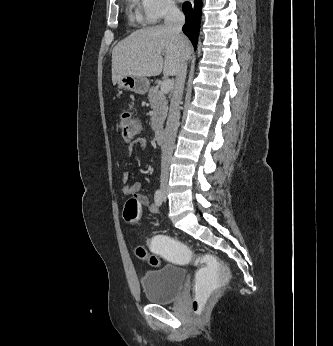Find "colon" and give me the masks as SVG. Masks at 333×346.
Instances as JSON below:
<instances>
[{"mask_svg":"<svg viewBox=\"0 0 333 346\" xmlns=\"http://www.w3.org/2000/svg\"><path fill=\"white\" fill-rule=\"evenodd\" d=\"M119 124L121 136L125 142H130L137 135L139 120L129 111L120 114ZM124 220L129 225H136L140 218L139 201L135 198L129 199L124 207ZM145 247H135L136 256L146 261L149 265L157 267L160 264L157 256L168 260L169 264H176L177 268H186L187 260L193 265V270L198 271L195 276L193 307L196 313L199 310L209 309V299L216 293V288H224L231 274L224 264V257H190V250L182 240H176L175 235L169 233H153L149 240H145ZM150 251V253L148 251Z\"/></svg>","mask_w":333,"mask_h":346,"instance_id":"obj_1","label":"colon"}]
</instances>
